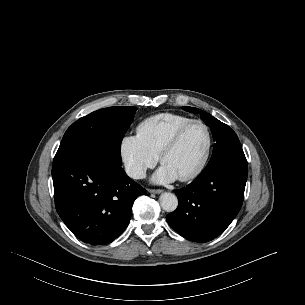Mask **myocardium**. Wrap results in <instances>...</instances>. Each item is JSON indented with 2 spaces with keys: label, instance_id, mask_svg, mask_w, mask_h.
Here are the masks:
<instances>
[{
  "label": "myocardium",
  "instance_id": "myocardium-1",
  "mask_svg": "<svg viewBox=\"0 0 305 305\" xmlns=\"http://www.w3.org/2000/svg\"><path fill=\"white\" fill-rule=\"evenodd\" d=\"M194 124H199V125L203 126V128L205 129L206 135H207V144H206V148H205L203 157H202L200 163L198 164V166L190 173H188L182 177H178V180L181 182H187V181L193 180L204 171V169L208 163V160L210 158L212 144H213V137H212V132H211L210 127L204 121H202L200 119H191L190 121H188L185 124H183L182 126H180L174 132V134L171 136V138L162 147V149L158 155L160 163L163 164L164 157L178 145L184 132L190 126H192Z\"/></svg>",
  "mask_w": 305,
  "mask_h": 305
}]
</instances>
